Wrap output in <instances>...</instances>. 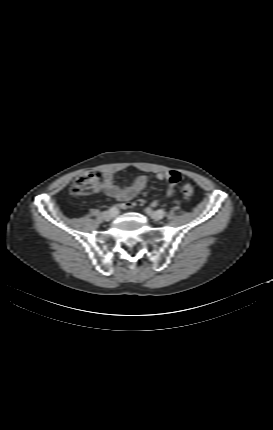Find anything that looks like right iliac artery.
Returning a JSON list of instances; mask_svg holds the SVG:
<instances>
[{
	"label": "right iliac artery",
	"instance_id": "82829eb1",
	"mask_svg": "<svg viewBox=\"0 0 273 430\" xmlns=\"http://www.w3.org/2000/svg\"><path fill=\"white\" fill-rule=\"evenodd\" d=\"M110 210H113V211H115V212H117V213H118V209H117V207H115V206H113Z\"/></svg>",
	"mask_w": 273,
	"mask_h": 430
}]
</instances>
